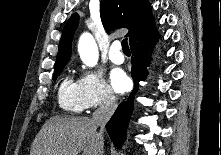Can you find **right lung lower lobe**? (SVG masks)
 <instances>
[{"label": "right lung lower lobe", "instance_id": "98d812e1", "mask_svg": "<svg viewBox=\"0 0 221 155\" xmlns=\"http://www.w3.org/2000/svg\"><path fill=\"white\" fill-rule=\"evenodd\" d=\"M159 38V34L155 25L138 35L131 43V51L133 57L131 76L134 80L135 89L138 88L139 81L145 79L147 73L146 66L149 62V53L152 52L155 43ZM132 92L126 102L121 103L109 122L106 124V129L113 143L120 148L124 141L128 121L133 109V95L136 90Z\"/></svg>", "mask_w": 221, "mask_h": 155}]
</instances>
